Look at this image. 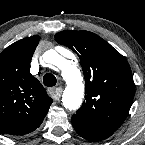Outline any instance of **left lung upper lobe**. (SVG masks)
I'll list each match as a JSON object with an SVG mask.
<instances>
[{
  "mask_svg": "<svg viewBox=\"0 0 145 145\" xmlns=\"http://www.w3.org/2000/svg\"><path fill=\"white\" fill-rule=\"evenodd\" d=\"M55 40L79 56L84 72L86 101L72 117L113 133L126 119L135 94L127 60L89 31H62L55 35Z\"/></svg>",
  "mask_w": 145,
  "mask_h": 145,
  "instance_id": "left-lung-upper-lobe-1",
  "label": "left lung upper lobe"
}]
</instances>
